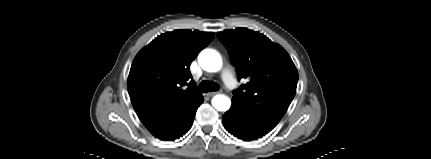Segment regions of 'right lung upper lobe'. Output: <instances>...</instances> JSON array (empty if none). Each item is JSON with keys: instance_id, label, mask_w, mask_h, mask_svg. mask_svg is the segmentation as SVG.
<instances>
[{"instance_id": "1", "label": "right lung upper lobe", "mask_w": 431, "mask_h": 159, "mask_svg": "<svg viewBox=\"0 0 431 159\" xmlns=\"http://www.w3.org/2000/svg\"><path fill=\"white\" fill-rule=\"evenodd\" d=\"M213 38V32H167L134 58L127 81L129 96L138 117L154 136H164L202 96L189 68Z\"/></svg>"}]
</instances>
